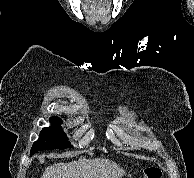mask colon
<instances>
[{
  "mask_svg": "<svg viewBox=\"0 0 194 178\" xmlns=\"http://www.w3.org/2000/svg\"><path fill=\"white\" fill-rule=\"evenodd\" d=\"M161 170L157 167L150 166L144 169L143 178H161Z\"/></svg>",
  "mask_w": 194,
  "mask_h": 178,
  "instance_id": "obj_1",
  "label": "colon"
}]
</instances>
